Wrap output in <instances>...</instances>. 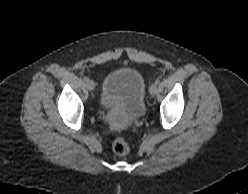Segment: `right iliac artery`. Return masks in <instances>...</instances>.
<instances>
[{
    "label": "right iliac artery",
    "instance_id": "82829eb1",
    "mask_svg": "<svg viewBox=\"0 0 248 194\" xmlns=\"http://www.w3.org/2000/svg\"><path fill=\"white\" fill-rule=\"evenodd\" d=\"M83 80H84V82H86V83H87V82L89 81V78H88V77H84V79H83Z\"/></svg>",
    "mask_w": 248,
    "mask_h": 194
}]
</instances>
